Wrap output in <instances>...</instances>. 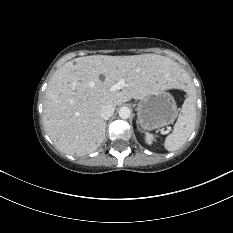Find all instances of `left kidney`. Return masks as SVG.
<instances>
[{
    "label": "left kidney",
    "mask_w": 233,
    "mask_h": 233,
    "mask_svg": "<svg viewBox=\"0 0 233 233\" xmlns=\"http://www.w3.org/2000/svg\"><path fill=\"white\" fill-rule=\"evenodd\" d=\"M154 141V135L150 134V133H146L145 135V142L149 145H151Z\"/></svg>",
    "instance_id": "1"
}]
</instances>
